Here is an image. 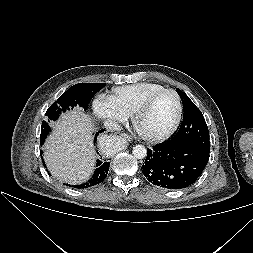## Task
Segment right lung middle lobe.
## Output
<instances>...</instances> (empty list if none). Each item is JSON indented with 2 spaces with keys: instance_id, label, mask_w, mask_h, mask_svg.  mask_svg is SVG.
I'll use <instances>...</instances> for the list:
<instances>
[{
  "instance_id": "right-lung-middle-lobe-1",
  "label": "right lung middle lobe",
  "mask_w": 253,
  "mask_h": 253,
  "mask_svg": "<svg viewBox=\"0 0 253 253\" xmlns=\"http://www.w3.org/2000/svg\"><path fill=\"white\" fill-rule=\"evenodd\" d=\"M105 83H79L70 87L63 93L56 102H54L47 110V120L42 122L40 144L44 143L50 131L49 123L58 118V116L66 109L73 108L76 105L88 107L92 97L103 87Z\"/></svg>"
}]
</instances>
